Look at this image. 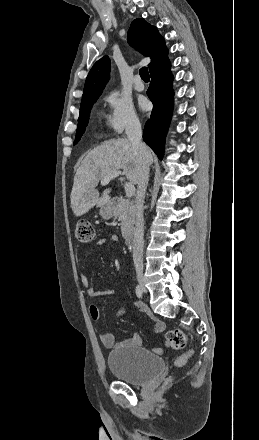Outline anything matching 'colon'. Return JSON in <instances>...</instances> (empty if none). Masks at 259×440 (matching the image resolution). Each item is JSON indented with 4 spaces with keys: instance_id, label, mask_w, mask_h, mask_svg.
I'll return each instance as SVG.
<instances>
[{
    "instance_id": "colon-1",
    "label": "colon",
    "mask_w": 259,
    "mask_h": 440,
    "mask_svg": "<svg viewBox=\"0 0 259 440\" xmlns=\"http://www.w3.org/2000/svg\"><path fill=\"white\" fill-rule=\"evenodd\" d=\"M76 237L81 243H88L94 237L93 225L88 221H80L76 226ZM165 343L173 349H185L187 346V336L180 329L169 330L165 334ZM191 349L185 351L175 360L176 366L184 365L192 356Z\"/></svg>"
}]
</instances>
